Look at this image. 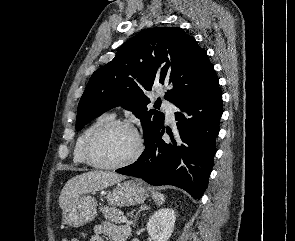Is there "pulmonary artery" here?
Wrapping results in <instances>:
<instances>
[{
  "instance_id": "1",
  "label": "pulmonary artery",
  "mask_w": 295,
  "mask_h": 241,
  "mask_svg": "<svg viewBox=\"0 0 295 241\" xmlns=\"http://www.w3.org/2000/svg\"><path fill=\"white\" fill-rule=\"evenodd\" d=\"M164 109L166 111L167 119L171 122L174 121L175 106L170 101L163 102Z\"/></svg>"
}]
</instances>
